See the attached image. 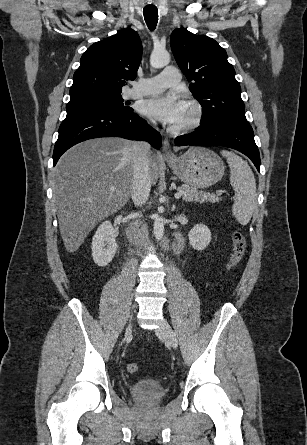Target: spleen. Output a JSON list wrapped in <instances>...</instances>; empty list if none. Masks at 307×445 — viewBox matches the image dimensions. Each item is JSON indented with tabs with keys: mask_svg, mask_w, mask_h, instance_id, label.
<instances>
[{
	"mask_svg": "<svg viewBox=\"0 0 307 445\" xmlns=\"http://www.w3.org/2000/svg\"><path fill=\"white\" fill-rule=\"evenodd\" d=\"M230 168V184L235 190L232 212L240 225H248L256 208V180L252 168L241 156L222 150Z\"/></svg>",
	"mask_w": 307,
	"mask_h": 445,
	"instance_id": "1",
	"label": "spleen"
}]
</instances>
